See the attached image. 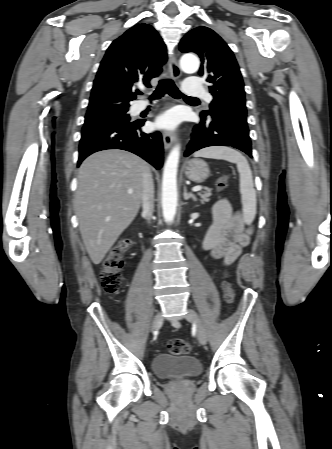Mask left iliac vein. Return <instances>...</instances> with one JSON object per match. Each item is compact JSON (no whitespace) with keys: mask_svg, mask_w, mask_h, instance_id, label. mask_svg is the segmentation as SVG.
Instances as JSON below:
<instances>
[{"mask_svg":"<svg viewBox=\"0 0 332 449\" xmlns=\"http://www.w3.org/2000/svg\"><path fill=\"white\" fill-rule=\"evenodd\" d=\"M186 319L191 322L192 324H194L196 326V331H197V339L198 341L204 345L207 342V335L206 332L201 324V321L197 315V313L192 310V309H188L187 315H186Z\"/></svg>","mask_w":332,"mask_h":449,"instance_id":"1","label":"left iliac vein"}]
</instances>
